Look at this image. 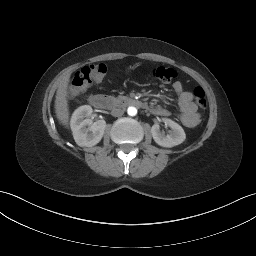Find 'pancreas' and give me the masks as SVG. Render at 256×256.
Here are the masks:
<instances>
[{
    "instance_id": "pancreas-1",
    "label": "pancreas",
    "mask_w": 256,
    "mask_h": 256,
    "mask_svg": "<svg viewBox=\"0 0 256 256\" xmlns=\"http://www.w3.org/2000/svg\"><path fill=\"white\" fill-rule=\"evenodd\" d=\"M109 98H110L114 103H121L123 100L127 99V97H125V96H118V97L109 96Z\"/></svg>"
}]
</instances>
